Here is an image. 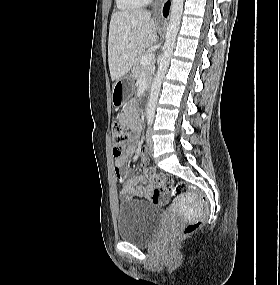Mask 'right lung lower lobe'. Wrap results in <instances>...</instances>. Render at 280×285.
<instances>
[{"label":"right lung lower lobe","instance_id":"1","mask_svg":"<svg viewBox=\"0 0 280 285\" xmlns=\"http://www.w3.org/2000/svg\"><path fill=\"white\" fill-rule=\"evenodd\" d=\"M169 6H170V2H167V3L165 4L164 9H163V15H164L165 17H167V15H168Z\"/></svg>","mask_w":280,"mask_h":285}]
</instances>
